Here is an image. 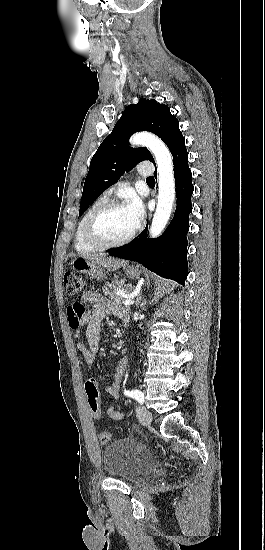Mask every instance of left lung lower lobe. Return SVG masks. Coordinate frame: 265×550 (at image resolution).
Here are the masks:
<instances>
[{
    "label": "left lung lower lobe",
    "instance_id": "obj_1",
    "mask_svg": "<svg viewBox=\"0 0 265 550\" xmlns=\"http://www.w3.org/2000/svg\"><path fill=\"white\" fill-rule=\"evenodd\" d=\"M176 182L177 207L165 232L147 239V229L131 243L110 250L111 256L136 261L156 274L184 285L188 275L187 232L192 211L193 185L185 141L172 153Z\"/></svg>",
    "mask_w": 265,
    "mask_h": 550
}]
</instances>
